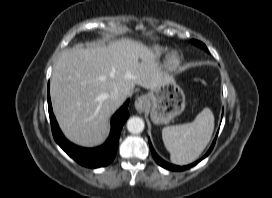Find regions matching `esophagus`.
<instances>
[{
	"label": "esophagus",
	"mask_w": 272,
	"mask_h": 198,
	"mask_svg": "<svg viewBox=\"0 0 272 198\" xmlns=\"http://www.w3.org/2000/svg\"><path fill=\"white\" fill-rule=\"evenodd\" d=\"M135 109L139 112V113H142L144 112V110L146 109L147 107V98L146 96L142 95L140 97H138L136 100H135Z\"/></svg>",
	"instance_id": "obj_1"
}]
</instances>
